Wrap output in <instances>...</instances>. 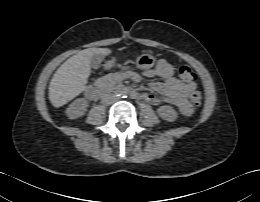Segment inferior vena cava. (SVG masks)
<instances>
[{"label":"inferior vena cava","mask_w":260,"mask_h":202,"mask_svg":"<svg viewBox=\"0 0 260 202\" xmlns=\"http://www.w3.org/2000/svg\"><path fill=\"white\" fill-rule=\"evenodd\" d=\"M116 96L113 95V94H105L103 97H102V103L103 104H106V105H109V104H112L113 102L116 101Z\"/></svg>","instance_id":"1"}]
</instances>
